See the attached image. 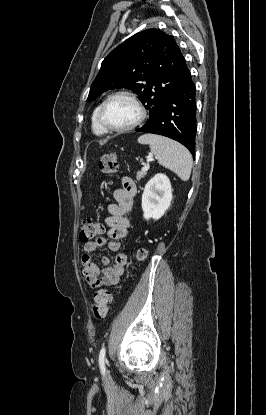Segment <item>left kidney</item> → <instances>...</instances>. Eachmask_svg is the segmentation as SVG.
<instances>
[{"label":"left kidney","mask_w":266,"mask_h":415,"mask_svg":"<svg viewBox=\"0 0 266 415\" xmlns=\"http://www.w3.org/2000/svg\"><path fill=\"white\" fill-rule=\"evenodd\" d=\"M172 187L169 178L162 173L156 174L145 185L142 194L143 217L146 220L160 219L171 205Z\"/></svg>","instance_id":"obj_1"}]
</instances>
